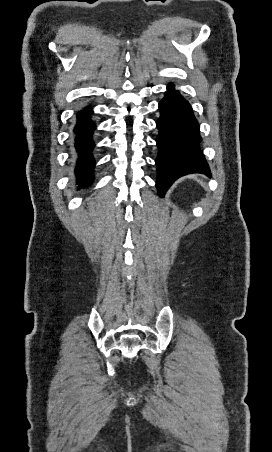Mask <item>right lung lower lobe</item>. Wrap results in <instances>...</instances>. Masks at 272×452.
Returning <instances> with one entry per match:
<instances>
[{
    "mask_svg": "<svg viewBox=\"0 0 272 452\" xmlns=\"http://www.w3.org/2000/svg\"><path fill=\"white\" fill-rule=\"evenodd\" d=\"M91 114L90 108L80 111L77 114V123L74 127L75 149L78 153L75 171L82 186H87L92 182V172L95 165L91 152L94 148L92 133L96 129V125L90 118Z\"/></svg>",
    "mask_w": 272,
    "mask_h": 452,
    "instance_id": "98d812e1",
    "label": "right lung lower lobe"
}]
</instances>
